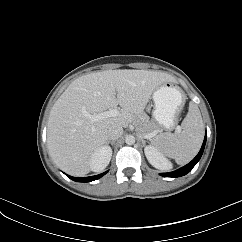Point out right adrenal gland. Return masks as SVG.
<instances>
[{
	"mask_svg": "<svg viewBox=\"0 0 242 242\" xmlns=\"http://www.w3.org/2000/svg\"><path fill=\"white\" fill-rule=\"evenodd\" d=\"M107 144H111L114 145L115 144V140L111 141L110 139L107 141Z\"/></svg>",
	"mask_w": 242,
	"mask_h": 242,
	"instance_id": "1",
	"label": "right adrenal gland"
}]
</instances>
